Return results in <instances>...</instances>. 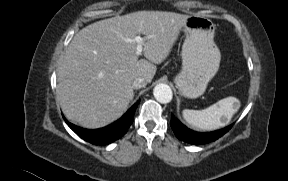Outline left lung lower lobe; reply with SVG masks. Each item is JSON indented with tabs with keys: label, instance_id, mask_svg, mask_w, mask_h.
I'll list each match as a JSON object with an SVG mask.
<instances>
[{
	"label": "left lung lower lobe",
	"instance_id": "left-lung-lower-lobe-1",
	"mask_svg": "<svg viewBox=\"0 0 288 181\" xmlns=\"http://www.w3.org/2000/svg\"><path fill=\"white\" fill-rule=\"evenodd\" d=\"M170 125L176 135V137L184 142L194 144V145H203L210 142H213L220 137H222L225 133H227L231 126H227L223 129L216 130L213 132H207V133H200L193 131L186 126H184L180 121H178L174 115H171V122Z\"/></svg>",
	"mask_w": 288,
	"mask_h": 181
}]
</instances>
